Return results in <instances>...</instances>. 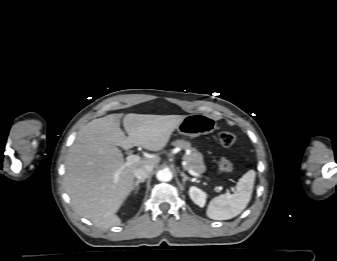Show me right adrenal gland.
<instances>
[{
	"label": "right adrenal gland",
	"mask_w": 337,
	"mask_h": 261,
	"mask_svg": "<svg viewBox=\"0 0 337 261\" xmlns=\"http://www.w3.org/2000/svg\"><path fill=\"white\" fill-rule=\"evenodd\" d=\"M145 180H137L134 185H133V191H135V194L138 193V190H139V184L144 182Z\"/></svg>",
	"instance_id": "right-adrenal-gland-1"
}]
</instances>
